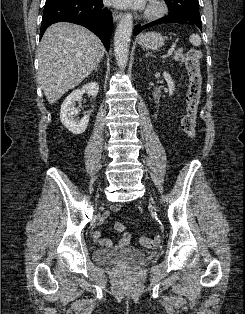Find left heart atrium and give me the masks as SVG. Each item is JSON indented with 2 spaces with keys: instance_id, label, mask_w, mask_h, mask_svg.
Wrapping results in <instances>:
<instances>
[{
  "instance_id": "39dd6f15",
  "label": "left heart atrium",
  "mask_w": 245,
  "mask_h": 314,
  "mask_svg": "<svg viewBox=\"0 0 245 314\" xmlns=\"http://www.w3.org/2000/svg\"><path fill=\"white\" fill-rule=\"evenodd\" d=\"M112 5L119 6V7H125L128 5H136V6H142L144 3V0H108Z\"/></svg>"
}]
</instances>
